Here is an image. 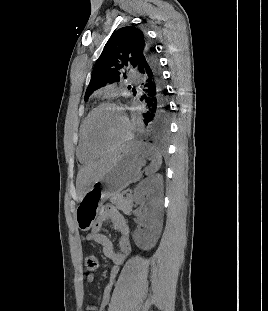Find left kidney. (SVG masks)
Segmentation results:
<instances>
[{"label":"left kidney","mask_w":268,"mask_h":311,"mask_svg":"<svg viewBox=\"0 0 268 311\" xmlns=\"http://www.w3.org/2000/svg\"><path fill=\"white\" fill-rule=\"evenodd\" d=\"M162 194L163 177L160 174L142 180L134 191V201L138 205H147V210L141 215L139 222L144 227L134 232L135 244L143 250L153 248L162 231Z\"/></svg>","instance_id":"5707ae66"}]
</instances>
